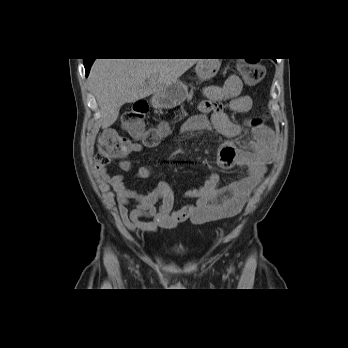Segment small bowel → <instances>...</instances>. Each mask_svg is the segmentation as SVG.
Returning a JSON list of instances; mask_svg holds the SVG:
<instances>
[{"mask_svg":"<svg viewBox=\"0 0 348 348\" xmlns=\"http://www.w3.org/2000/svg\"><path fill=\"white\" fill-rule=\"evenodd\" d=\"M242 88V82L236 75H230L221 86L205 87V100L199 105L200 114L188 118L181 127V133L206 130L211 124L224 137L239 136L247 122L230 120L226 111L247 113L251 110L252 99L242 94ZM206 114L211 115L210 122ZM274 139L272 130L252 127V137L246 148H237L230 142L222 143L218 163L226 169L242 168L243 175L225 189L218 188L217 174L207 176L200 186L186 191V196L194 202L176 210L173 209L174 193L167 182H161L152 191L138 193L125 184L121 174H110L105 166H98L97 171L102 180L112 186L122 222L131 232L153 233L159 228H173L186 219L194 224H204L231 218L242 210L273 158ZM144 148L142 143H133L130 152H141ZM119 167L129 170L131 164L128 160H121ZM151 173L152 167L146 165L138 170L137 176L144 178Z\"/></svg>","mask_w":348,"mask_h":348,"instance_id":"small-bowel-1","label":"small bowel"}]
</instances>
